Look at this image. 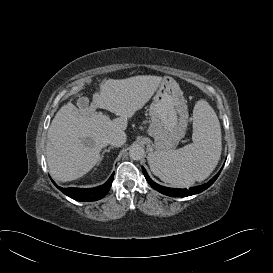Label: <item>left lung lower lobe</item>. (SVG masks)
<instances>
[{
    "instance_id": "left-lung-lower-lobe-1",
    "label": "left lung lower lobe",
    "mask_w": 273,
    "mask_h": 273,
    "mask_svg": "<svg viewBox=\"0 0 273 273\" xmlns=\"http://www.w3.org/2000/svg\"><path fill=\"white\" fill-rule=\"evenodd\" d=\"M142 171L147 182L151 185V187H153L155 190L159 191L160 193L165 194L167 196H171V197H187L194 194H198L206 190L208 187H210L220 174V171H219L208 183L201 186L192 187L189 190H187V189H173V188H168V187L158 185L157 183L151 180V178L148 176L144 167H142Z\"/></svg>"
}]
</instances>
